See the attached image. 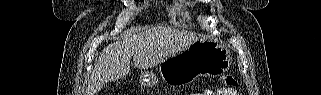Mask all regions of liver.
I'll return each mask as SVG.
<instances>
[{
  "mask_svg": "<svg viewBox=\"0 0 321 95\" xmlns=\"http://www.w3.org/2000/svg\"><path fill=\"white\" fill-rule=\"evenodd\" d=\"M198 40L199 37L190 32L155 27L111 43L101 52L85 95H95L107 82L128 75L132 57L137 68L148 69Z\"/></svg>",
  "mask_w": 321,
  "mask_h": 95,
  "instance_id": "6515ba94",
  "label": "liver"
}]
</instances>
